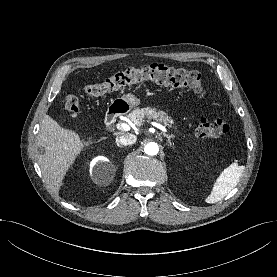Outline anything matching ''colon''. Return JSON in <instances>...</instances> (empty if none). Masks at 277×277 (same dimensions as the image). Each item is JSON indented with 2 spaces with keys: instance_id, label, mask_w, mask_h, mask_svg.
Segmentation results:
<instances>
[{
  "instance_id": "colon-1",
  "label": "colon",
  "mask_w": 277,
  "mask_h": 277,
  "mask_svg": "<svg viewBox=\"0 0 277 277\" xmlns=\"http://www.w3.org/2000/svg\"><path fill=\"white\" fill-rule=\"evenodd\" d=\"M146 81L175 88H189L200 95L205 93V83L198 72L174 69L163 64L131 68L119 72L101 83L88 85L85 90L91 96H101L127 85ZM79 106V99L76 95L69 94L66 97L65 111L69 116H77ZM194 128L196 135L199 137L216 138L226 134L230 130V125L225 118H217L213 121L199 118L194 124Z\"/></svg>"
}]
</instances>
